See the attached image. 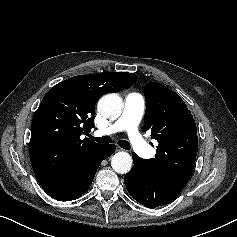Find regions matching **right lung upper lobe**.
<instances>
[{
  "mask_svg": "<svg viewBox=\"0 0 237 237\" xmlns=\"http://www.w3.org/2000/svg\"><path fill=\"white\" fill-rule=\"evenodd\" d=\"M135 81L136 75L127 72L79 75L58 83L46 93L33 117L29 149L40 183L62 179L79 156L100 146L80 138L93 127L97 101Z\"/></svg>",
  "mask_w": 237,
  "mask_h": 237,
  "instance_id": "cb5924a9",
  "label": "right lung upper lobe"
}]
</instances>
